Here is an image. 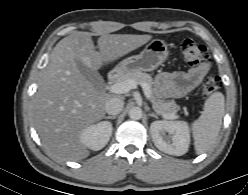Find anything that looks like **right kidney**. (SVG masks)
<instances>
[{"label": "right kidney", "mask_w": 248, "mask_h": 195, "mask_svg": "<svg viewBox=\"0 0 248 195\" xmlns=\"http://www.w3.org/2000/svg\"><path fill=\"white\" fill-rule=\"evenodd\" d=\"M112 130V124L107 121L90 125L81 132L80 141L91 150H101L109 142Z\"/></svg>", "instance_id": "right-kidney-1"}]
</instances>
